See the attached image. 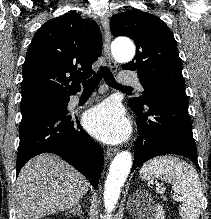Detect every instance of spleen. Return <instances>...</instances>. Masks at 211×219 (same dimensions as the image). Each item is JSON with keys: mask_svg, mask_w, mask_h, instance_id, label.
I'll return each mask as SVG.
<instances>
[{"mask_svg": "<svg viewBox=\"0 0 211 219\" xmlns=\"http://www.w3.org/2000/svg\"><path fill=\"white\" fill-rule=\"evenodd\" d=\"M142 180L155 177L172 184L175 193L183 196L179 209L182 219H199L202 188L199 176L191 165L173 156L157 157L149 160L140 169Z\"/></svg>", "mask_w": 211, "mask_h": 219, "instance_id": "spleen-1", "label": "spleen"}]
</instances>
